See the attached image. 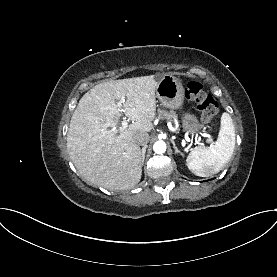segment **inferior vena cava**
<instances>
[{"label":"inferior vena cava","mask_w":277,"mask_h":277,"mask_svg":"<svg viewBox=\"0 0 277 277\" xmlns=\"http://www.w3.org/2000/svg\"><path fill=\"white\" fill-rule=\"evenodd\" d=\"M135 142L140 146H147L149 135L147 133H138L134 136Z\"/></svg>","instance_id":"1"}]
</instances>
